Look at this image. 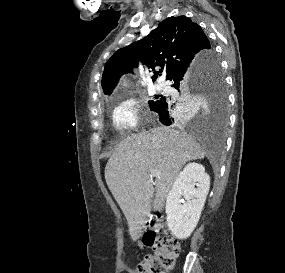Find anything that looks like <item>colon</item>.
Returning a JSON list of instances; mask_svg holds the SVG:
<instances>
[{
  "instance_id": "1",
  "label": "colon",
  "mask_w": 285,
  "mask_h": 273,
  "mask_svg": "<svg viewBox=\"0 0 285 273\" xmlns=\"http://www.w3.org/2000/svg\"><path fill=\"white\" fill-rule=\"evenodd\" d=\"M143 246L153 249L137 266V273H168L180 253L179 241L171 235L160 218H151L141 237Z\"/></svg>"
}]
</instances>
